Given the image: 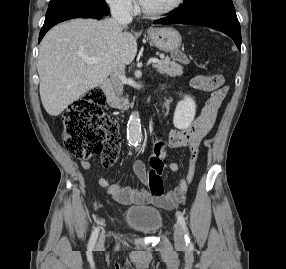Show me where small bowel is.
<instances>
[{"instance_id":"c3829d8e","label":"small bowel","mask_w":286,"mask_h":269,"mask_svg":"<svg viewBox=\"0 0 286 269\" xmlns=\"http://www.w3.org/2000/svg\"><path fill=\"white\" fill-rule=\"evenodd\" d=\"M169 105L170 100L165 99L163 108L167 109ZM218 111L219 110H201L191 127L185 130H172L170 132L168 144L171 148H188L190 151L187 174L185 178L179 181L178 186L174 190L162 196H154L147 191H138L129 187H122L102 177L98 178V184L107 191L111 198L122 203H152L164 209H175L182 202L184 194L193 181L200 143L213 128ZM81 166L84 169L92 168V164L88 160H82ZM168 168L173 172H177L180 167L178 163L172 161L168 164ZM134 171L143 182H147L146 166L143 161L140 159L134 161Z\"/></svg>"}]
</instances>
